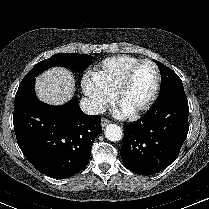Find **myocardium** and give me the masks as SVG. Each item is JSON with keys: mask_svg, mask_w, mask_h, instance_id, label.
Returning a JSON list of instances; mask_svg holds the SVG:
<instances>
[{"mask_svg": "<svg viewBox=\"0 0 209 209\" xmlns=\"http://www.w3.org/2000/svg\"><path fill=\"white\" fill-rule=\"evenodd\" d=\"M142 63H150L153 66L155 71V84L149 98L142 106L131 111H126V114L132 118L141 116L153 106L160 89L161 77L157 64L151 59H147V58L139 59L128 68L116 90L115 96H116L117 105L121 107L122 97L131 83L136 68Z\"/></svg>", "mask_w": 209, "mask_h": 209, "instance_id": "1", "label": "myocardium"}]
</instances>
